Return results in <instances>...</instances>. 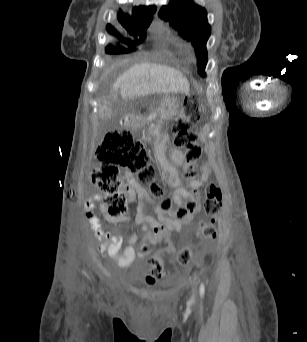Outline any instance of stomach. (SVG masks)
<instances>
[{
  "label": "stomach",
  "mask_w": 307,
  "mask_h": 342,
  "mask_svg": "<svg viewBox=\"0 0 307 342\" xmlns=\"http://www.w3.org/2000/svg\"><path fill=\"white\" fill-rule=\"evenodd\" d=\"M180 108V100L175 97H167L160 104L158 109L159 116L161 119L169 120L174 117ZM134 124L136 127L141 126L142 121L140 117L135 118Z\"/></svg>",
  "instance_id": "0dacf381"
}]
</instances>
